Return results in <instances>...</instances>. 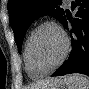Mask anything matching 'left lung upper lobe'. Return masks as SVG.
I'll list each match as a JSON object with an SVG mask.
<instances>
[{
	"mask_svg": "<svg viewBox=\"0 0 89 89\" xmlns=\"http://www.w3.org/2000/svg\"><path fill=\"white\" fill-rule=\"evenodd\" d=\"M60 0H9L8 12L10 25L14 31L18 51L29 25L40 16L50 15L63 21L64 10L60 8Z\"/></svg>",
	"mask_w": 89,
	"mask_h": 89,
	"instance_id": "5c2ea615",
	"label": "left lung upper lobe"
}]
</instances>
